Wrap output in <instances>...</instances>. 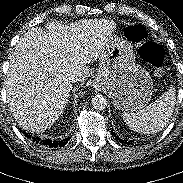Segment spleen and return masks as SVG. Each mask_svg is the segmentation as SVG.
Segmentation results:
<instances>
[{"instance_id": "obj_1", "label": "spleen", "mask_w": 183, "mask_h": 183, "mask_svg": "<svg viewBox=\"0 0 183 183\" xmlns=\"http://www.w3.org/2000/svg\"><path fill=\"white\" fill-rule=\"evenodd\" d=\"M176 89L170 87L160 98L136 113L123 112L124 122L141 134L161 131L169 122L176 104Z\"/></svg>"}]
</instances>
